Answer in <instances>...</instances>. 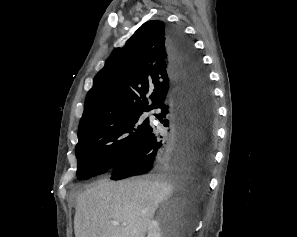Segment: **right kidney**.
<instances>
[{"instance_id":"ca27d5eb","label":"right kidney","mask_w":297,"mask_h":237,"mask_svg":"<svg viewBox=\"0 0 297 237\" xmlns=\"http://www.w3.org/2000/svg\"><path fill=\"white\" fill-rule=\"evenodd\" d=\"M147 237H165L166 234L163 233L160 224L157 220H152L148 225Z\"/></svg>"}]
</instances>
